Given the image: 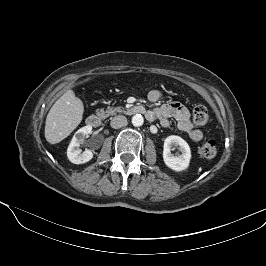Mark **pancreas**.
Segmentation results:
<instances>
[{
	"label": "pancreas",
	"mask_w": 266,
	"mask_h": 266,
	"mask_svg": "<svg viewBox=\"0 0 266 266\" xmlns=\"http://www.w3.org/2000/svg\"><path fill=\"white\" fill-rule=\"evenodd\" d=\"M117 112H123V109L121 107H108L107 110L100 109L96 111L97 115L104 118L110 115H114Z\"/></svg>",
	"instance_id": "obj_1"
}]
</instances>
